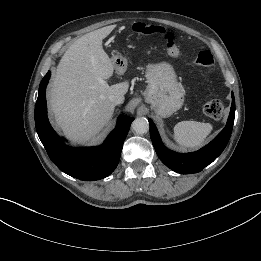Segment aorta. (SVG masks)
Instances as JSON below:
<instances>
[{
	"label": "aorta",
	"instance_id": "1",
	"mask_svg": "<svg viewBox=\"0 0 261 261\" xmlns=\"http://www.w3.org/2000/svg\"><path fill=\"white\" fill-rule=\"evenodd\" d=\"M132 129L136 134H145L149 131V123L146 118H136L132 123Z\"/></svg>",
	"mask_w": 261,
	"mask_h": 261
}]
</instances>
